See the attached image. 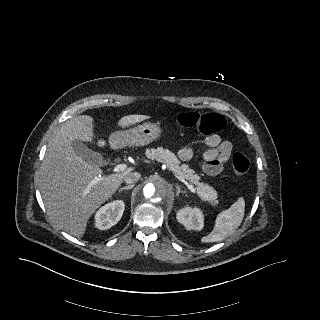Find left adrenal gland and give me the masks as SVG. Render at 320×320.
Listing matches in <instances>:
<instances>
[{"mask_svg": "<svg viewBox=\"0 0 320 320\" xmlns=\"http://www.w3.org/2000/svg\"><path fill=\"white\" fill-rule=\"evenodd\" d=\"M176 188H177V194H176L177 196H179L180 193L185 194V191H182L178 185L176 186Z\"/></svg>", "mask_w": 320, "mask_h": 320, "instance_id": "1", "label": "left adrenal gland"}]
</instances>
